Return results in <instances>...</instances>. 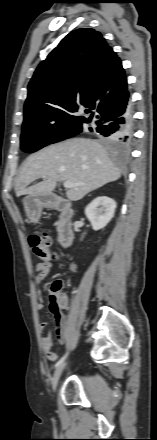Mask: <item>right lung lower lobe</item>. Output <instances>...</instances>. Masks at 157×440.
<instances>
[{
	"mask_svg": "<svg viewBox=\"0 0 157 440\" xmlns=\"http://www.w3.org/2000/svg\"><path fill=\"white\" fill-rule=\"evenodd\" d=\"M92 116L86 122L89 123ZM94 128L105 138H110L115 143L129 144L132 141L133 120L129 97L120 99L111 105L106 106L96 114Z\"/></svg>",
	"mask_w": 157,
	"mask_h": 440,
	"instance_id": "1",
	"label": "right lung lower lobe"
}]
</instances>
